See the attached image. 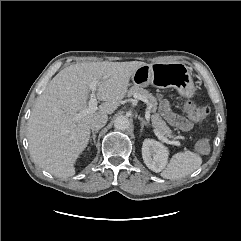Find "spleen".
Masks as SVG:
<instances>
[{"label": "spleen", "instance_id": "spleen-1", "mask_svg": "<svg viewBox=\"0 0 241 241\" xmlns=\"http://www.w3.org/2000/svg\"><path fill=\"white\" fill-rule=\"evenodd\" d=\"M202 164V158L191 151L174 154L161 176L164 179H181L197 170Z\"/></svg>", "mask_w": 241, "mask_h": 241}]
</instances>
